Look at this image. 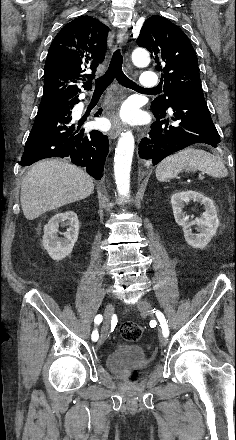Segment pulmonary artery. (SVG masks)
<instances>
[{"label": "pulmonary artery", "instance_id": "e3ab8cb5", "mask_svg": "<svg viewBox=\"0 0 236 440\" xmlns=\"http://www.w3.org/2000/svg\"><path fill=\"white\" fill-rule=\"evenodd\" d=\"M158 83V76L153 72L146 71L142 75L139 86L145 90H150L152 88H155Z\"/></svg>", "mask_w": 236, "mask_h": 440}]
</instances>
